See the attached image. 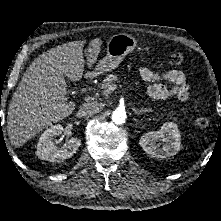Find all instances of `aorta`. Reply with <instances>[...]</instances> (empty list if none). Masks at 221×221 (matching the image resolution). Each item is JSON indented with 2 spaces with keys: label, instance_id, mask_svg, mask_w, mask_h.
Segmentation results:
<instances>
[{
  "label": "aorta",
  "instance_id": "762f6f07",
  "mask_svg": "<svg viewBox=\"0 0 221 221\" xmlns=\"http://www.w3.org/2000/svg\"><path fill=\"white\" fill-rule=\"evenodd\" d=\"M126 112L123 109H116L113 113H112V121L116 124V125H122L125 123L126 120Z\"/></svg>",
  "mask_w": 221,
  "mask_h": 221
}]
</instances>
